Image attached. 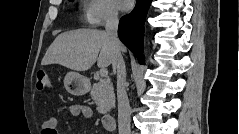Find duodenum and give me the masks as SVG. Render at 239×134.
Wrapping results in <instances>:
<instances>
[{"label":"duodenum","instance_id":"duodenum-1","mask_svg":"<svg viewBox=\"0 0 239 134\" xmlns=\"http://www.w3.org/2000/svg\"><path fill=\"white\" fill-rule=\"evenodd\" d=\"M103 127L111 132L115 128V117L111 114L105 115L102 119Z\"/></svg>","mask_w":239,"mask_h":134}]
</instances>
